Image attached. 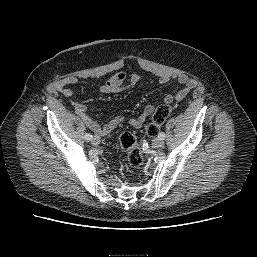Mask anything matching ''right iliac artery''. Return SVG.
I'll use <instances>...</instances> for the list:
<instances>
[{
    "label": "right iliac artery",
    "instance_id": "obj_1",
    "mask_svg": "<svg viewBox=\"0 0 257 257\" xmlns=\"http://www.w3.org/2000/svg\"><path fill=\"white\" fill-rule=\"evenodd\" d=\"M84 138H85L86 141L89 142V141L92 140L93 136H92L90 133H86L85 136H84Z\"/></svg>",
    "mask_w": 257,
    "mask_h": 257
}]
</instances>
